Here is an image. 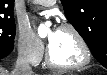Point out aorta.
Masks as SVG:
<instances>
[{"instance_id": "obj_1", "label": "aorta", "mask_w": 107, "mask_h": 75, "mask_svg": "<svg viewBox=\"0 0 107 75\" xmlns=\"http://www.w3.org/2000/svg\"><path fill=\"white\" fill-rule=\"evenodd\" d=\"M47 26L45 24H41L39 27H38V34L39 35H44L47 33Z\"/></svg>"}]
</instances>
